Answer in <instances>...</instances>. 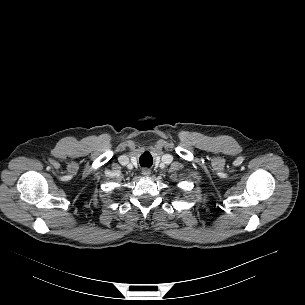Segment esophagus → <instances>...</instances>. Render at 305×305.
I'll return each mask as SVG.
<instances>
[{"instance_id":"1","label":"esophagus","mask_w":305,"mask_h":305,"mask_svg":"<svg viewBox=\"0 0 305 305\" xmlns=\"http://www.w3.org/2000/svg\"><path fill=\"white\" fill-rule=\"evenodd\" d=\"M151 174V171L147 168L142 170V175L148 177Z\"/></svg>"}]
</instances>
